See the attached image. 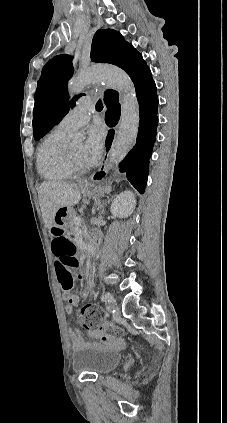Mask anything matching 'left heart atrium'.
I'll list each match as a JSON object with an SVG mask.
<instances>
[{
    "instance_id": "39dd6f15",
    "label": "left heart atrium",
    "mask_w": 227,
    "mask_h": 423,
    "mask_svg": "<svg viewBox=\"0 0 227 423\" xmlns=\"http://www.w3.org/2000/svg\"><path fill=\"white\" fill-rule=\"evenodd\" d=\"M107 132L102 126L91 127L84 146L83 160L86 165H95L102 156L106 144Z\"/></svg>"
}]
</instances>
